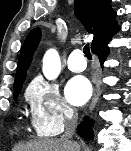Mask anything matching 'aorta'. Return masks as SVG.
Returning a JSON list of instances; mask_svg holds the SVG:
<instances>
[{"label": "aorta", "mask_w": 131, "mask_h": 151, "mask_svg": "<svg viewBox=\"0 0 131 151\" xmlns=\"http://www.w3.org/2000/svg\"><path fill=\"white\" fill-rule=\"evenodd\" d=\"M60 57L56 50H49L43 58V73L49 80L55 79L60 73Z\"/></svg>", "instance_id": "aorta-1"}]
</instances>
